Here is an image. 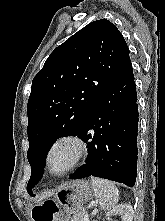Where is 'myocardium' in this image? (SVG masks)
I'll use <instances>...</instances> for the list:
<instances>
[{"label": "myocardium", "mask_w": 165, "mask_h": 221, "mask_svg": "<svg viewBox=\"0 0 165 221\" xmlns=\"http://www.w3.org/2000/svg\"><path fill=\"white\" fill-rule=\"evenodd\" d=\"M61 143H71L75 147V155L70 165L61 171H54L50 166V155L53 149ZM87 152V145L85 140L76 133H66L55 138L47 148L45 154V163L47 170L52 175H65L73 171L82 161Z\"/></svg>", "instance_id": "f54148a6"}]
</instances>
